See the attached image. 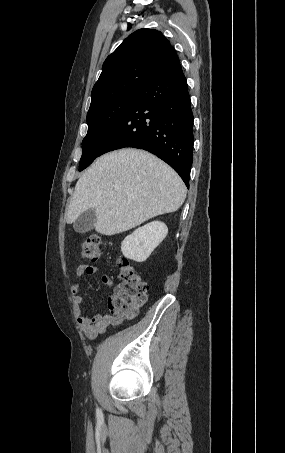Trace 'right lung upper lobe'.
Instances as JSON below:
<instances>
[{
  "mask_svg": "<svg viewBox=\"0 0 285 453\" xmlns=\"http://www.w3.org/2000/svg\"><path fill=\"white\" fill-rule=\"evenodd\" d=\"M178 64L177 53L162 32L139 29L106 58L92 89L90 108L119 95L140 91L152 77Z\"/></svg>",
  "mask_w": 285,
  "mask_h": 453,
  "instance_id": "right-lung-upper-lobe-1",
  "label": "right lung upper lobe"
}]
</instances>
